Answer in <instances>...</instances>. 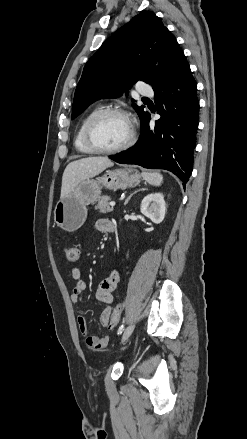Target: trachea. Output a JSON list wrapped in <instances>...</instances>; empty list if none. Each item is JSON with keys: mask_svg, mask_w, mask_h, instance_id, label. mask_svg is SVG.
I'll return each mask as SVG.
<instances>
[{"mask_svg": "<svg viewBox=\"0 0 247 439\" xmlns=\"http://www.w3.org/2000/svg\"><path fill=\"white\" fill-rule=\"evenodd\" d=\"M142 99H143V100H146L147 98H146V97H143Z\"/></svg>", "mask_w": 247, "mask_h": 439, "instance_id": "3493384b", "label": "trachea"}]
</instances>
